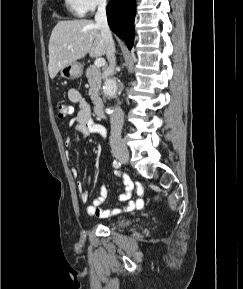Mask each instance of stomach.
I'll return each mask as SVG.
<instances>
[{"label": "stomach", "mask_w": 243, "mask_h": 289, "mask_svg": "<svg viewBox=\"0 0 243 289\" xmlns=\"http://www.w3.org/2000/svg\"><path fill=\"white\" fill-rule=\"evenodd\" d=\"M63 78L74 79L82 75V65L78 62L70 63L60 69Z\"/></svg>", "instance_id": "stomach-1"}]
</instances>
